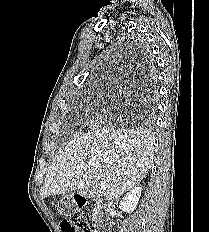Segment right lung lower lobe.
Returning <instances> with one entry per match:
<instances>
[{
	"label": "right lung lower lobe",
	"instance_id": "1",
	"mask_svg": "<svg viewBox=\"0 0 209 232\" xmlns=\"http://www.w3.org/2000/svg\"><path fill=\"white\" fill-rule=\"evenodd\" d=\"M145 57H146V55H145ZM144 60H146V58H145ZM147 60H148V59H147ZM147 93H148V89H147Z\"/></svg>",
	"mask_w": 209,
	"mask_h": 232
}]
</instances>
